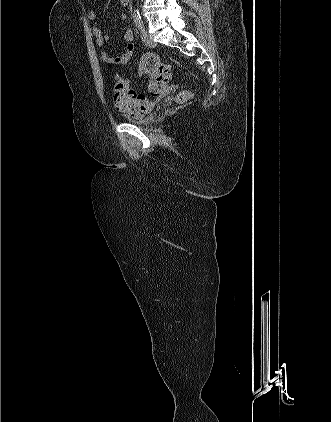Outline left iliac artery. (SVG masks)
<instances>
[{
  "instance_id": "obj_1",
  "label": "left iliac artery",
  "mask_w": 331,
  "mask_h": 422,
  "mask_svg": "<svg viewBox=\"0 0 331 422\" xmlns=\"http://www.w3.org/2000/svg\"><path fill=\"white\" fill-rule=\"evenodd\" d=\"M133 19H134V22H135L136 27L140 31H143L145 28H144V23H143V21L141 19V15H140L139 11H134V13H133Z\"/></svg>"
}]
</instances>
